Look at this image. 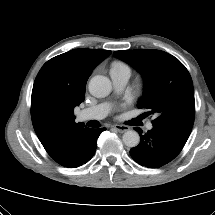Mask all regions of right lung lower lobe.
<instances>
[{"label": "right lung lower lobe", "instance_id": "right-lung-lower-lobe-1", "mask_svg": "<svg viewBox=\"0 0 215 215\" xmlns=\"http://www.w3.org/2000/svg\"><path fill=\"white\" fill-rule=\"evenodd\" d=\"M104 130V128H86L80 132L74 138L68 156L58 163L69 168H75L87 163L95 154L97 139Z\"/></svg>", "mask_w": 215, "mask_h": 215}]
</instances>
